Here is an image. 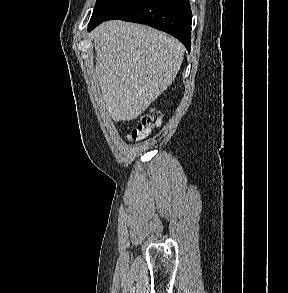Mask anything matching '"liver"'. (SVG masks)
<instances>
[{
  "label": "liver",
  "mask_w": 288,
  "mask_h": 293,
  "mask_svg": "<svg viewBox=\"0 0 288 293\" xmlns=\"http://www.w3.org/2000/svg\"><path fill=\"white\" fill-rule=\"evenodd\" d=\"M95 73L114 121L136 119L174 81L185 48L151 27L107 21L94 30Z\"/></svg>",
  "instance_id": "liver-1"
}]
</instances>
